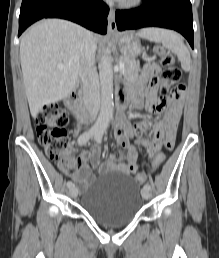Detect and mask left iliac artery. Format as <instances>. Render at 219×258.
<instances>
[{"label":"left iliac artery","mask_w":219,"mask_h":258,"mask_svg":"<svg viewBox=\"0 0 219 258\" xmlns=\"http://www.w3.org/2000/svg\"><path fill=\"white\" fill-rule=\"evenodd\" d=\"M103 133H104V130H103V129H99V130H97V132L95 133L94 138H95V140H96L98 143H100V142L102 141ZM144 188L150 190V189H151V185L147 183V184L144 185Z\"/></svg>","instance_id":"left-iliac-artery-1"}]
</instances>
